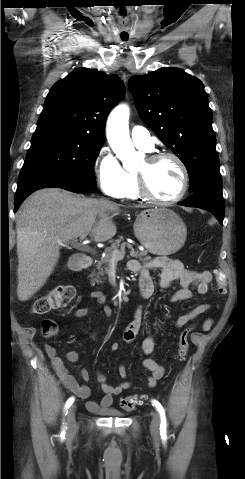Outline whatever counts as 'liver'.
Segmentation results:
<instances>
[{"label":"liver","mask_w":245,"mask_h":479,"mask_svg":"<svg viewBox=\"0 0 245 479\" xmlns=\"http://www.w3.org/2000/svg\"><path fill=\"white\" fill-rule=\"evenodd\" d=\"M119 205L106 199L82 198L60 189L32 194L16 220L20 301L28 300L47 281L60 256V245L88 235L97 242L115 236L108 216Z\"/></svg>","instance_id":"liver-1"}]
</instances>
